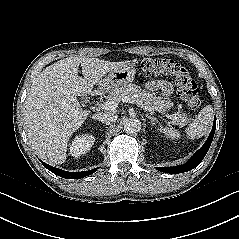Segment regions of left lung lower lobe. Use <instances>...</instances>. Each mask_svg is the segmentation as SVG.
<instances>
[{
    "mask_svg": "<svg viewBox=\"0 0 239 239\" xmlns=\"http://www.w3.org/2000/svg\"><path fill=\"white\" fill-rule=\"evenodd\" d=\"M215 129H216V120L213 123V128L211 130V133H210L207 141L191 157V159L185 165L177 166V167H157V170L171 173V174H178V173L190 171V170L194 169L195 167H197L201 163V161L203 160V158L205 157V155L207 154V152L210 148V145L213 141Z\"/></svg>",
    "mask_w": 239,
    "mask_h": 239,
    "instance_id": "obj_1",
    "label": "left lung lower lobe"
}]
</instances>
